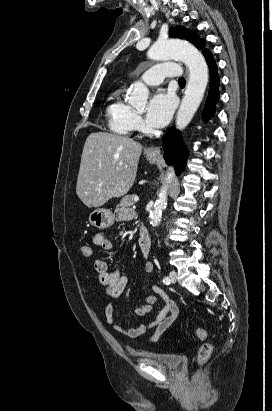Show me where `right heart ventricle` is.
Masks as SVG:
<instances>
[{"instance_id":"obj_1","label":"right heart ventricle","mask_w":272,"mask_h":411,"mask_svg":"<svg viewBox=\"0 0 272 411\" xmlns=\"http://www.w3.org/2000/svg\"><path fill=\"white\" fill-rule=\"evenodd\" d=\"M133 110L131 106L121 99L118 91L114 92L106 108V115L110 129L120 135H127L131 132V116Z\"/></svg>"}]
</instances>
